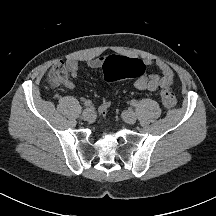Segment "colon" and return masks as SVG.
I'll return each instance as SVG.
<instances>
[{
	"label": "colon",
	"instance_id": "obj_1",
	"mask_svg": "<svg viewBox=\"0 0 216 216\" xmlns=\"http://www.w3.org/2000/svg\"><path fill=\"white\" fill-rule=\"evenodd\" d=\"M145 65L136 59L112 56L104 64V77L108 82L120 79L139 77L144 74ZM67 70L64 62H56L49 71L48 86L56 88L66 80ZM160 98L165 107L171 108L176 104L174 92L165 87L160 91ZM111 101L105 98L99 106V115L104 118L110 110Z\"/></svg>",
	"mask_w": 216,
	"mask_h": 216
}]
</instances>
